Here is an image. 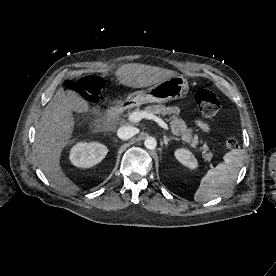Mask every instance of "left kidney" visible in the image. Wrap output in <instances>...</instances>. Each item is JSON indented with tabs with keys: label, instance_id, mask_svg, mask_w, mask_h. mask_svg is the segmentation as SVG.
<instances>
[{
	"label": "left kidney",
	"instance_id": "left-kidney-1",
	"mask_svg": "<svg viewBox=\"0 0 276 276\" xmlns=\"http://www.w3.org/2000/svg\"><path fill=\"white\" fill-rule=\"evenodd\" d=\"M176 159L184 166L190 169H196L198 166L197 160L194 155L187 149H178L175 151Z\"/></svg>",
	"mask_w": 276,
	"mask_h": 276
}]
</instances>
